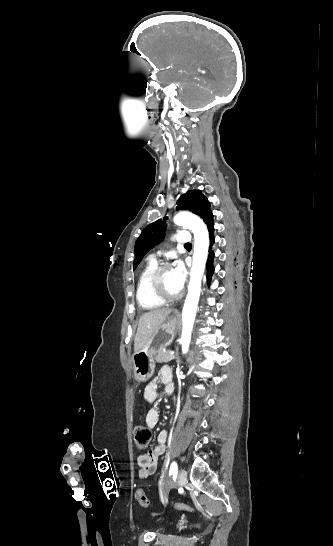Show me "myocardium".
I'll use <instances>...</instances> for the list:
<instances>
[{
	"mask_svg": "<svg viewBox=\"0 0 333 546\" xmlns=\"http://www.w3.org/2000/svg\"><path fill=\"white\" fill-rule=\"evenodd\" d=\"M168 270H170L168 265L159 266L153 273L150 280V289L153 296L164 303L177 301L183 295L182 292H179L177 295L171 296L165 292L162 285V277Z\"/></svg>",
	"mask_w": 333,
	"mask_h": 546,
	"instance_id": "obj_1",
	"label": "myocardium"
}]
</instances>
